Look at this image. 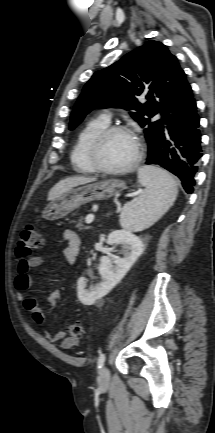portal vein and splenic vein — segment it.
<instances>
[{
    "mask_svg": "<svg viewBox=\"0 0 215 433\" xmlns=\"http://www.w3.org/2000/svg\"><path fill=\"white\" fill-rule=\"evenodd\" d=\"M135 194H136V193H130L128 196H133V195H135ZM94 218H95V216H94L93 214H89V215H87V217H86V219H85V222H86L87 224H90V223L93 222Z\"/></svg>",
    "mask_w": 215,
    "mask_h": 433,
    "instance_id": "obj_1",
    "label": "portal vein and splenic vein"
}]
</instances>
